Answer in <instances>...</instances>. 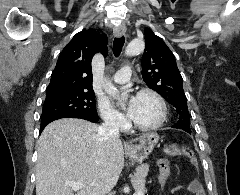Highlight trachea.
<instances>
[{"label":"trachea","mask_w":240,"mask_h":195,"mask_svg":"<svg viewBox=\"0 0 240 195\" xmlns=\"http://www.w3.org/2000/svg\"><path fill=\"white\" fill-rule=\"evenodd\" d=\"M125 38L121 36V38H115L113 42V54L118 57L122 52V48L124 46Z\"/></svg>","instance_id":"1"}]
</instances>
